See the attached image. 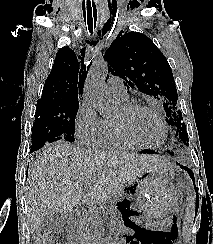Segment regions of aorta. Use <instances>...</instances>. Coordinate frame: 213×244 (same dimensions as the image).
<instances>
[{
	"mask_svg": "<svg viewBox=\"0 0 213 244\" xmlns=\"http://www.w3.org/2000/svg\"><path fill=\"white\" fill-rule=\"evenodd\" d=\"M107 74V63L104 60L95 62L87 75L86 92L99 113L103 117L109 118L117 113L120 103L110 95L105 87ZM113 244H122V239L118 232L113 235Z\"/></svg>",
	"mask_w": 213,
	"mask_h": 244,
	"instance_id": "762f6f07",
	"label": "aorta"
}]
</instances>
